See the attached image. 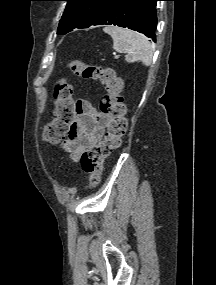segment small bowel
I'll list each match as a JSON object with an SVG mask.
<instances>
[{
    "mask_svg": "<svg viewBox=\"0 0 216 285\" xmlns=\"http://www.w3.org/2000/svg\"><path fill=\"white\" fill-rule=\"evenodd\" d=\"M76 106L77 117L64 145L74 160H78L83 151L103 139L107 125V117L94 104L79 100Z\"/></svg>",
    "mask_w": 216,
    "mask_h": 285,
    "instance_id": "small-bowel-1",
    "label": "small bowel"
}]
</instances>
